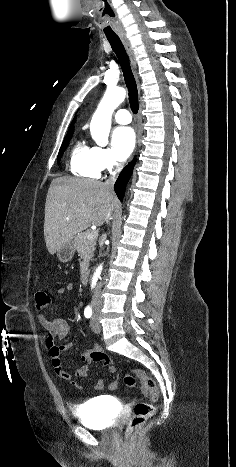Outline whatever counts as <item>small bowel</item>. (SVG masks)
I'll use <instances>...</instances> for the list:
<instances>
[{
    "label": "small bowel",
    "mask_w": 236,
    "mask_h": 467,
    "mask_svg": "<svg viewBox=\"0 0 236 467\" xmlns=\"http://www.w3.org/2000/svg\"><path fill=\"white\" fill-rule=\"evenodd\" d=\"M73 290L72 284H66L63 287H60L57 290V294L62 296L65 295ZM39 320L44 328L47 330L46 336V347L49 351L51 364L54 367L55 373L57 376L65 381H71L73 386L79 390H83L85 388L84 384L78 381L73 380V375L62 366L60 354L61 352H66L71 349L72 343H65L61 346H57L55 344V340H64L69 333L71 332V325L63 318H53L49 319L45 314L39 315ZM94 352H102L98 346H94L90 350L85 351L80 359L83 365L79 367L76 372L75 376L77 377H84L88 374L90 370L91 364L95 362H102L112 373H116V366L114 361L106 355V359L102 361L94 360L91 355ZM119 384L118 377L116 376L115 379L109 384V390L113 391L116 390ZM104 388V382L102 380H95L91 385L90 389L93 391H100Z\"/></svg>",
    "instance_id": "c3829d8e"
}]
</instances>
